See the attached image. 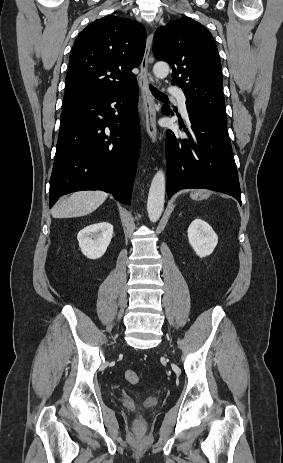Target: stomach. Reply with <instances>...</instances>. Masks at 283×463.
Instances as JSON below:
<instances>
[{
	"instance_id": "obj_1",
	"label": "stomach",
	"mask_w": 283,
	"mask_h": 463,
	"mask_svg": "<svg viewBox=\"0 0 283 463\" xmlns=\"http://www.w3.org/2000/svg\"><path fill=\"white\" fill-rule=\"evenodd\" d=\"M192 198L202 199L206 197V192L204 190H197L191 193Z\"/></svg>"
}]
</instances>
